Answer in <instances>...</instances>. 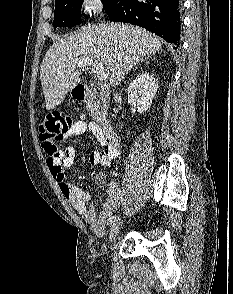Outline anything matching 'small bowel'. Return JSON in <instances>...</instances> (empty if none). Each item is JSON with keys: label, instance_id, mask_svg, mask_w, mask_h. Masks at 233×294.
I'll use <instances>...</instances> for the list:
<instances>
[{"label": "small bowel", "instance_id": "1", "mask_svg": "<svg viewBox=\"0 0 233 294\" xmlns=\"http://www.w3.org/2000/svg\"><path fill=\"white\" fill-rule=\"evenodd\" d=\"M87 131L92 133L103 148L102 152L93 151L90 154V164L109 166L112 160L119 155V140L114 143L108 141L103 134L102 128L96 122L78 120L72 124L64 137L79 136ZM75 158L76 150L73 147H67L60 152L58 158L48 156L46 164L62 195L96 233H101L104 231L120 200V186L115 181L106 183V177L103 173H98L95 176V184L97 186L105 185L106 190V200L101 211L96 215L91 205V195L86 190L71 185L65 180V170L74 164Z\"/></svg>", "mask_w": 233, "mask_h": 294}]
</instances>
